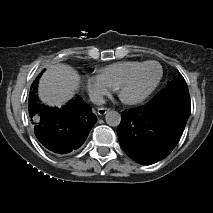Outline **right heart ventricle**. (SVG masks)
Segmentation results:
<instances>
[{"instance_id": "e07e8e85", "label": "right heart ventricle", "mask_w": 213, "mask_h": 213, "mask_svg": "<svg viewBox=\"0 0 213 213\" xmlns=\"http://www.w3.org/2000/svg\"><path fill=\"white\" fill-rule=\"evenodd\" d=\"M140 63V61L133 60L115 62L102 67L99 70V76H101L112 89L116 90L120 82Z\"/></svg>"}]
</instances>
